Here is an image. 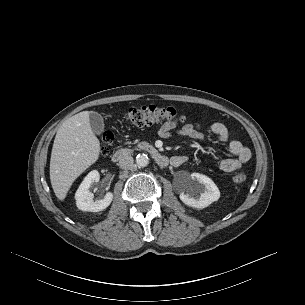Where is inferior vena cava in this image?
<instances>
[{"label": "inferior vena cava", "mask_w": 305, "mask_h": 305, "mask_svg": "<svg viewBox=\"0 0 305 305\" xmlns=\"http://www.w3.org/2000/svg\"><path fill=\"white\" fill-rule=\"evenodd\" d=\"M134 159L130 155H124L119 160V167L122 169H132L134 166Z\"/></svg>", "instance_id": "obj_1"}]
</instances>
